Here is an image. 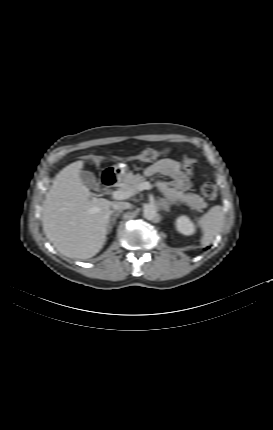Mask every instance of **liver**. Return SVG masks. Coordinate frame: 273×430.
<instances>
[{
	"label": "liver",
	"mask_w": 273,
	"mask_h": 430,
	"mask_svg": "<svg viewBox=\"0 0 273 430\" xmlns=\"http://www.w3.org/2000/svg\"><path fill=\"white\" fill-rule=\"evenodd\" d=\"M83 161L63 168L46 194L43 231L53 246L70 258L95 256L106 241L113 202L92 197L80 177Z\"/></svg>",
	"instance_id": "6515ba94"
}]
</instances>
